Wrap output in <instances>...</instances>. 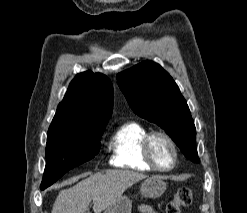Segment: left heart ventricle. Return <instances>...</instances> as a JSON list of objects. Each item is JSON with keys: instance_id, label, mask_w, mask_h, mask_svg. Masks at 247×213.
<instances>
[{"instance_id": "1", "label": "left heart ventricle", "mask_w": 247, "mask_h": 213, "mask_svg": "<svg viewBox=\"0 0 247 213\" xmlns=\"http://www.w3.org/2000/svg\"><path fill=\"white\" fill-rule=\"evenodd\" d=\"M152 152L157 163L164 168L170 167L173 162V151L169 143L157 137L152 143Z\"/></svg>"}]
</instances>
